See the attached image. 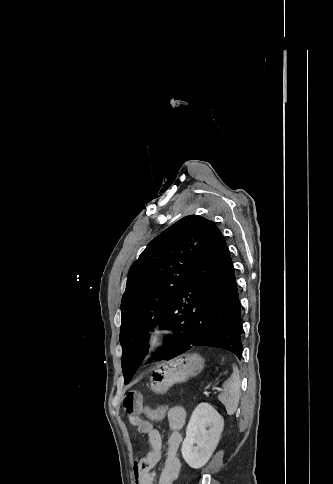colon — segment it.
I'll list each match as a JSON object with an SVG mask.
<instances>
[{
    "label": "colon",
    "mask_w": 333,
    "mask_h": 484,
    "mask_svg": "<svg viewBox=\"0 0 333 484\" xmlns=\"http://www.w3.org/2000/svg\"><path fill=\"white\" fill-rule=\"evenodd\" d=\"M171 407L162 405L157 408L146 407V416L149 420H160Z\"/></svg>",
    "instance_id": "colon-1"
}]
</instances>
